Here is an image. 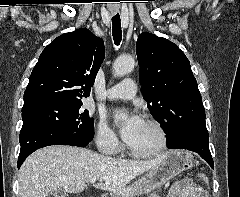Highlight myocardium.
<instances>
[{
	"label": "myocardium",
	"instance_id": "obj_1",
	"mask_svg": "<svg viewBox=\"0 0 240 197\" xmlns=\"http://www.w3.org/2000/svg\"><path fill=\"white\" fill-rule=\"evenodd\" d=\"M145 122L156 130L158 135V144L155 148L150 150H138V149L131 148L129 145H127L128 152L134 157L147 158V157L157 156L161 154L167 147L168 139H167V132L164 126L154 118H147Z\"/></svg>",
	"mask_w": 240,
	"mask_h": 197
}]
</instances>
